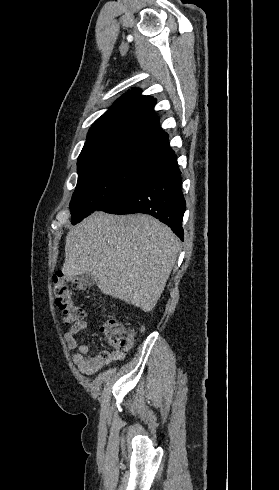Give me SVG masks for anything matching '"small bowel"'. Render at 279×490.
Segmentation results:
<instances>
[{"label": "small bowel", "mask_w": 279, "mask_h": 490, "mask_svg": "<svg viewBox=\"0 0 279 490\" xmlns=\"http://www.w3.org/2000/svg\"><path fill=\"white\" fill-rule=\"evenodd\" d=\"M88 329L85 321H80L66 330L64 340L70 349H76L73 355V362L79 371L87 376H93L102 368L113 362L121 361L125 355L121 352L103 350L97 355L90 354V349L86 344H79L77 335Z\"/></svg>", "instance_id": "c3829d8e"}]
</instances>
